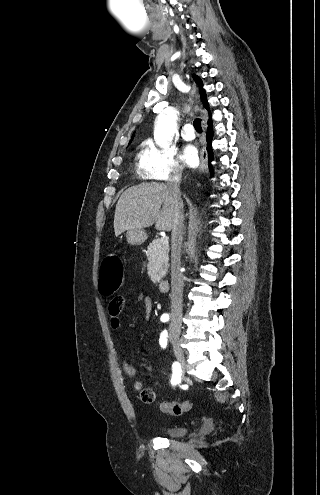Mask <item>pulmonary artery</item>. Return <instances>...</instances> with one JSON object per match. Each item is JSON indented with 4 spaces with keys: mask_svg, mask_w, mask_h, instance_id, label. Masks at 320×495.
<instances>
[{
    "mask_svg": "<svg viewBox=\"0 0 320 495\" xmlns=\"http://www.w3.org/2000/svg\"><path fill=\"white\" fill-rule=\"evenodd\" d=\"M181 136L185 140H192L195 138L194 128L191 124L187 123L182 127Z\"/></svg>",
    "mask_w": 320,
    "mask_h": 495,
    "instance_id": "obj_1",
    "label": "pulmonary artery"
}]
</instances>
